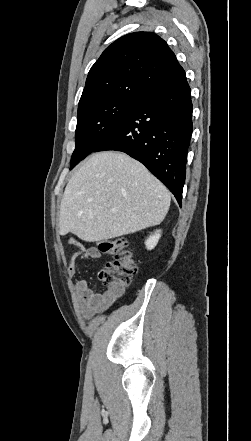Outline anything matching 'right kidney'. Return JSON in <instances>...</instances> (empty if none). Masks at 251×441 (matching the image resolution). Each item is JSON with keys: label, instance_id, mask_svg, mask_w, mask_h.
Masks as SVG:
<instances>
[{"label": "right kidney", "instance_id": "right-kidney-1", "mask_svg": "<svg viewBox=\"0 0 251 441\" xmlns=\"http://www.w3.org/2000/svg\"><path fill=\"white\" fill-rule=\"evenodd\" d=\"M160 237H161V230H157L154 232V234H151L147 238V240L145 241L146 248L148 250L154 249V247L157 245Z\"/></svg>", "mask_w": 251, "mask_h": 441}]
</instances>
